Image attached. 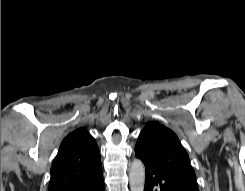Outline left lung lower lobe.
Instances as JSON below:
<instances>
[{
	"label": "left lung lower lobe",
	"instance_id": "obj_1",
	"mask_svg": "<svg viewBox=\"0 0 245 191\" xmlns=\"http://www.w3.org/2000/svg\"><path fill=\"white\" fill-rule=\"evenodd\" d=\"M136 157L139 158L138 155ZM143 163L145 167L144 191H199L197 184L190 183L169 170L145 161Z\"/></svg>",
	"mask_w": 245,
	"mask_h": 191
}]
</instances>
